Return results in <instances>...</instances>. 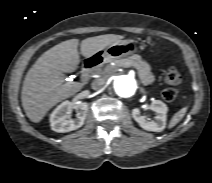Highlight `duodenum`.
I'll return each instance as SVG.
<instances>
[{
    "label": "duodenum",
    "instance_id": "duodenum-1",
    "mask_svg": "<svg viewBox=\"0 0 212 183\" xmlns=\"http://www.w3.org/2000/svg\"><path fill=\"white\" fill-rule=\"evenodd\" d=\"M102 57L94 55L85 59L82 67V79L86 81L92 71L102 62Z\"/></svg>",
    "mask_w": 212,
    "mask_h": 183
}]
</instances>
